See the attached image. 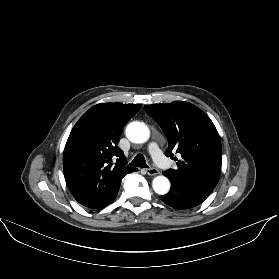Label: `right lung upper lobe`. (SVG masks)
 <instances>
[{"mask_svg": "<svg viewBox=\"0 0 279 279\" xmlns=\"http://www.w3.org/2000/svg\"><path fill=\"white\" fill-rule=\"evenodd\" d=\"M140 108V104H97L73 127L64 149L63 171L68 188L83 206L108 200L119 190L122 178L137 171L126 166L118 143L123 127Z\"/></svg>", "mask_w": 279, "mask_h": 279, "instance_id": "obj_1", "label": "right lung upper lobe"}]
</instances>
